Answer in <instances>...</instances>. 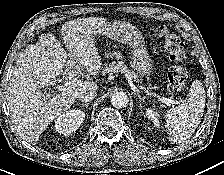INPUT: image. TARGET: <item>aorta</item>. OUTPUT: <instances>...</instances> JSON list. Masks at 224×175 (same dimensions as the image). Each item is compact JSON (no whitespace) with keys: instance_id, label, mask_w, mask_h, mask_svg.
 <instances>
[{"instance_id":"1","label":"aorta","mask_w":224,"mask_h":175,"mask_svg":"<svg viewBox=\"0 0 224 175\" xmlns=\"http://www.w3.org/2000/svg\"><path fill=\"white\" fill-rule=\"evenodd\" d=\"M129 99L124 92H116L111 96V104L115 108H124L128 105Z\"/></svg>"}]
</instances>
